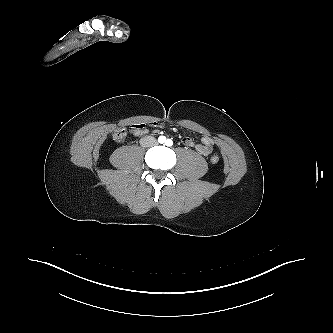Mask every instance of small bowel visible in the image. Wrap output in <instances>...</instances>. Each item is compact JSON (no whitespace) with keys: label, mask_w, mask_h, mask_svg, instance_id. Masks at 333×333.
Segmentation results:
<instances>
[{"label":"small bowel","mask_w":333,"mask_h":333,"mask_svg":"<svg viewBox=\"0 0 333 333\" xmlns=\"http://www.w3.org/2000/svg\"><path fill=\"white\" fill-rule=\"evenodd\" d=\"M152 125L155 127H160L161 123L153 122ZM131 132L135 136H142L147 133V129H146L145 124H134L131 126ZM182 142L187 147L195 148V150L199 154L204 155V156L209 155L213 150L212 140H211V138H209L207 136L202 137L201 143H199V144H195L194 141L189 137H184L182 139Z\"/></svg>","instance_id":"c3829d8e"}]
</instances>
